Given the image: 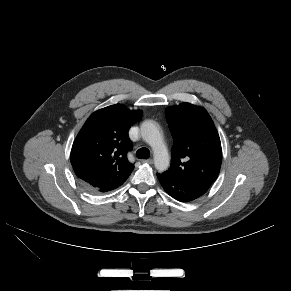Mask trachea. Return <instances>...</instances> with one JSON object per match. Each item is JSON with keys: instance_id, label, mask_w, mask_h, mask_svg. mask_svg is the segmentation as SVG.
Masks as SVG:
<instances>
[{"instance_id": "3493384b", "label": "trachea", "mask_w": 291, "mask_h": 291, "mask_svg": "<svg viewBox=\"0 0 291 291\" xmlns=\"http://www.w3.org/2000/svg\"><path fill=\"white\" fill-rule=\"evenodd\" d=\"M136 156L138 159H148L150 157V151L147 148L142 147L137 150Z\"/></svg>"}]
</instances>
